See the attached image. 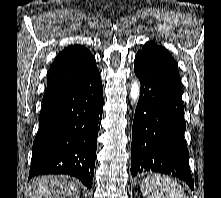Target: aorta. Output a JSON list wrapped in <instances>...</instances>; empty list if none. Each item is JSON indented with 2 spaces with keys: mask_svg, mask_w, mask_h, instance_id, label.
<instances>
[{
  "mask_svg": "<svg viewBox=\"0 0 221 198\" xmlns=\"http://www.w3.org/2000/svg\"><path fill=\"white\" fill-rule=\"evenodd\" d=\"M139 96H140V82L138 79H134L130 87V99L132 104L138 102Z\"/></svg>",
  "mask_w": 221,
  "mask_h": 198,
  "instance_id": "aorta-1",
  "label": "aorta"
}]
</instances>
